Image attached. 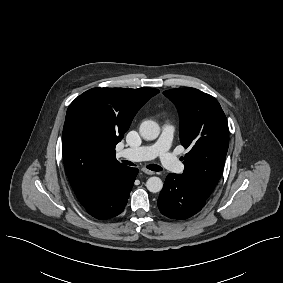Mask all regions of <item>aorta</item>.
<instances>
[{"label": "aorta", "mask_w": 283, "mask_h": 283, "mask_svg": "<svg viewBox=\"0 0 283 283\" xmlns=\"http://www.w3.org/2000/svg\"><path fill=\"white\" fill-rule=\"evenodd\" d=\"M140 135L145 140H155L160 134L159 125L152 120H146L141 123L139 128ZM147 189L152 193L162 190L163 182L159 177H150L146 182Z\"/></svg>", "instance_id": "aorta-1"}]
</instances>
